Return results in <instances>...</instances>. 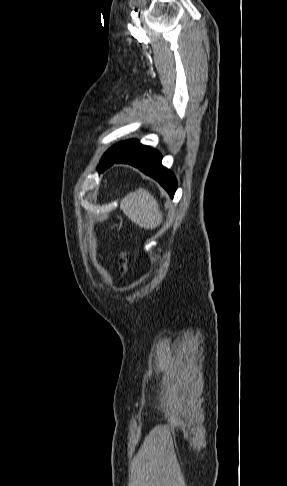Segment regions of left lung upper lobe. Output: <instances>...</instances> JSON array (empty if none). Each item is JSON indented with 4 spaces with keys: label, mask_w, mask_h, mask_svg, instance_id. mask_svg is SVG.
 I'll return each mask as SVG.
<instances>
[{
    "label": "left lung upper lobe",
    "mask_w": 287,
    "mask_h": 486,
    "mask_svg": "<svg viewBox=\"0 0 287 486\" xmlns=\"http://www.w3.org/2000/svg\"><path fill=\"white\" fill-rule=\"evenodd\" d=\"M141 147L142 145L135 139L117 143L103 155L100 161V165L98 166V171L101 165L103 164V162L108 160L109 158L128 154L130 152L140 149Z\"/></svg>",
    "instance_id": "1"
}]
</instances>
